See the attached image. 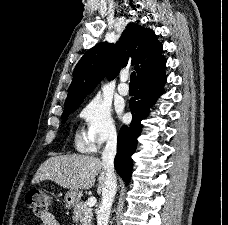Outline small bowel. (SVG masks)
<instances>
[{"label":"small bowel","instance_id":"c3829d8e","mask_svg":"<svg viewBox=\"0 0 228 225\" xmlns=\"http://www.w3.org/2000/svg\"><path fill=\"white\" fill-rule=\"evenodd\" d=\"M41 221L42 225H59V222L51 213H47L45 216H43Z\"/></svg>","mask_w":228,"mask_h":225}]
</instances>
